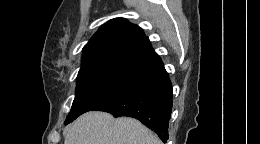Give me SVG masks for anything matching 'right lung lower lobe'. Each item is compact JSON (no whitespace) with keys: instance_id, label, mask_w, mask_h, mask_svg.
Segmentation results:
<instances>
[{"instance_id":"right-lung-lower-lobe-1","label":"right lung lower lobe","mask_w":260,"mask_h":144,"mask_svg":"<svg viewBox=\"0 0 260 144\" xmlns=\"http://www.w3.org/2000/svg\"><path fill=\"white\" fill-rule=\"evenodd\" d=\"M92 110L136 118L166 142L172 85L162 61L138 70L126 85Z\"/></svg>"}]
</instances>
